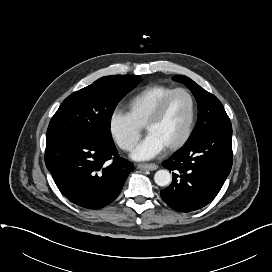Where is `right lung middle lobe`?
Returning <instances> with one entry per match:
<instances>
[{
    "instance_id": "obj_1",
    "label": "right lung middle lobe",
    "mask_w": 272,
    "mask_h": 272,
    "mask_svg": "<svg viewBox=\"0 0 272 272\" xmlns=\"http://www.w3.org/2000/svg\"><path fill=\"white\" fill-rule=\"evenodd\" d=\"M141 81L139 75H113L71 94L52 117L46 143L61 137L90 134L114 144L111 116L118 102Z\"/></svg>"
}]
</instances>
